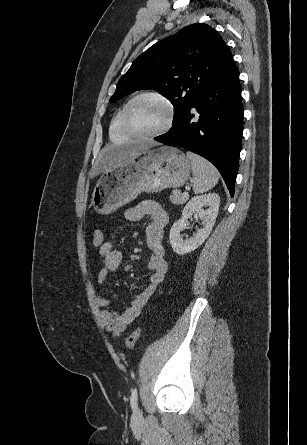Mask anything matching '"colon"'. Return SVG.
<instances>
[{
  "mask_svg": "<svg viewBox=\"0 0 307 445\" xmlns=\"http://www.w3.org/2000/svg\"><path fill=\"white\" fill-rule=\"evenodd\" d=\"M103 242L104 233L101 228H96L93 232V243L95 246L101 247L103 245ZM141 331V327H137L128 335L125 342L127 350L131 351L135 347V344L140 337Z\"/></svg>",
  "mask_w": 307,
  "mask_h": 445,
  "instance_id": "obj_1",
  "label": "colon"
}]
</instances>
